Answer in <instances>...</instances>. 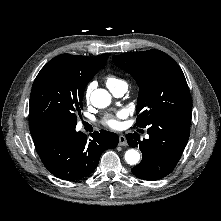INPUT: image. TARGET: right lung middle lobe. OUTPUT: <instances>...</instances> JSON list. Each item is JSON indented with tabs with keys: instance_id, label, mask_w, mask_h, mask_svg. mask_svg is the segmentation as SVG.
<instances>
[{
	"instance_id": "obj_1",
	"label": "right lung middle lobe",
	"mask_w": 221,
	"mask_h": 221,
	"mask_svg": "<svg viewBox=\"0 0 221 221\" xmlns=\"http://www.w3.org/2000/svg\"><path fill=\"white\" fill-rule=\"evenodd\" d=\"M93 76L81 70L78 56L61 54L38 73L30 95V125L75 130L83 108L84 89Z\"/></svg>"
}]
</instances>
